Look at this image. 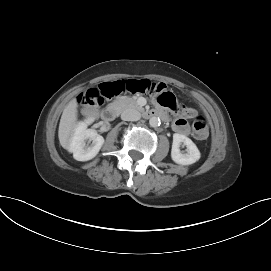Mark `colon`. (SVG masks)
Masks as SVG:
<instances>
[{
    "label": "colon",
    "instance_id": "5ec220e1",
    "mask_svg": "<svg viewBox=\"0 0 271 271\" xmlns=\"http://www.w3.org/2000/svg\"><path fill=\"white\" fill-rule=\"evenodd\" d=\"M122 93L149 94L156 101L167 108L176 109L177 103L174 95L165 89H157L156 83L147 79H121L102 83L92 87L78 96V103L85 107H97L105 98H112ZM187 114L190 109H185ZM193 134L196 139L203 140L208 136V126L202 116H197L193 121Z\"/></svg>",
    "mask_w": 271,
    "mask_h": 271
}]
</instances>
